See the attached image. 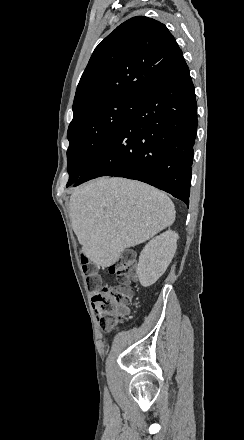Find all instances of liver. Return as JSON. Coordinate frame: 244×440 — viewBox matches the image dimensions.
Wrapping results in <instances>:
<instances>
[{"label":"liver","mask_w":244,"mask_h":440,"mask_svg":"<svg viewBox=\"0 0 244 440\" xmlns=\"http://www.w3.org/2000/svg\"><path fill=\"white\" fill-rule=\"evenodd\" d=\"M69 210L82 254L100 268L113 266L125 248L172 226L176 214L165 192L137 180L109 176L77 188Z\"/></svg>","instance_id":"obj_1"}]
</instances>
